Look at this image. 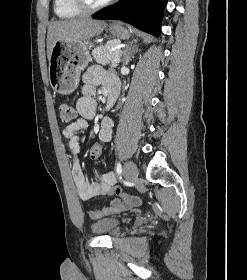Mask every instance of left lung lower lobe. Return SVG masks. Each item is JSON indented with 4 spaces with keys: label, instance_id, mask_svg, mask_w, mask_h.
Returning a JSON list of instances; mask_svg holds the SVG:
<instances>
[{
    "label": "left lung lower lobe",
    "instance_id": "obj_1",
    "mask_svg": "<svg viewBox=\"0 0 247 280\" xmlns=\"http://www.w3.org/2000/svg\"><path fill=\"white\" fill-rule=\"evenodd\" d=\"M166 4L167 0H120L114 6L94 15L93 18L123 20L158 37Z\"/></svg>",
    "mask_w": 247,
    "mask_h": 280
}]
</instances>
